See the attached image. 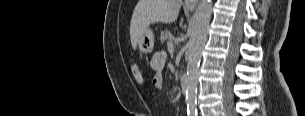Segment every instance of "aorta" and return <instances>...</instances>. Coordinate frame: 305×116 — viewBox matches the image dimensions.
Masks as SVG:
<instances>
[{
  "instance_id": "762f6f07",
  "label": "aorta",
  "mask_w": 305,
  "mask_h": 116,
  "mask_svg": "<svg viewBox=\"0 0 305 116\" xmlns=\"http://www.w3.org/2000/svg\"><path fill=\"white\" fill-rule=\"evenodd\" d=\"M211 15L212 0H200L194 14L188 43L186 101L187 111L190 114L196 112L198 70L201 52L207 39Z\"/></svg>"
}]
</instances>
